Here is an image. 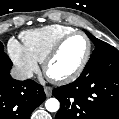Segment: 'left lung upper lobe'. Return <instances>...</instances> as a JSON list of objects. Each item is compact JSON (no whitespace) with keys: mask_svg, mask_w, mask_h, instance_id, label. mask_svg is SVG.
<instances>
[{"mask_svg":"<svg viewBox=\"0 0 119 119\" xmlns=\"http://www.w3.org/2000/svg\"><path fill=\"white\" fill-rule=\"evenodd\" d=\"M86 34L95 45V50L93 51L92 56L90 57V60L94 59L95 57H97L98 55L103 53L104 50L111 47V45H109L108 43H106L102 40L97 39L88 31H86Z\"/></svg>","mask_w":119,"mask_h":119,"instance_id":"5c2ea615","label":"left lung upper lobe"}]
</instances>
